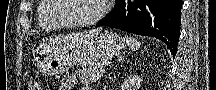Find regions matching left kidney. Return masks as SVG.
<instances>
[{"instance_id": "left-kidney-1", "label": "left kidney", "mask_w": 216, "mask_h": 90, "mask_svg": "<svg viewBox=\"0 0 216 90\" xmlns=\"http://www.w3.org/2000/svg\"><path fill=\"white\" fill-rule=\"evenodd\" d=\"M143 82L142 76H129L126 78L122 90H139L141 88V84Z\"/></svg>"}]
</instances>
